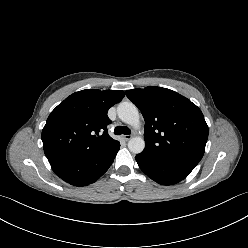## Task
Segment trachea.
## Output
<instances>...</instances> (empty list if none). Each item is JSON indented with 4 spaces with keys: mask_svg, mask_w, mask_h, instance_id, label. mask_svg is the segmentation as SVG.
I'll return each instance as SVG.
<instances>
[{
    "mask_svg": "<svg viewBox=\"0 0 248 248\" xmlns=\"http://www.w3.org/2000/svg\"><path fill=\"white\" fill-rule=\"evenodd\" d=\"M130 133H131V130L128 127H125V126H117L114 129V134L115 135H121V134L129 135Z\"/></svg>",
    "mask_w": 248,
    "mask_h": 248,
    "instance_id": "1",
    "label": "trachea"
}]
</instances>
